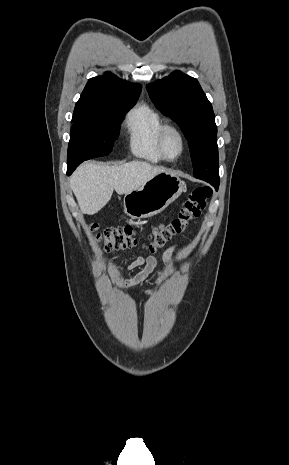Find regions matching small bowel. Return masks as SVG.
<instances>
[{"label":"small bowel","instance_id":"obj_1","mask_svg":"<svg viewBox=\"0 0 289 465\" xmlns=\"http://www.w3.org/2000/svg\"><path fill=\"white\" fill-rule=\"evenodd\" d=\"M178 247V244H173L164 251L162 256V260L164 263H169L172 260L173 254ZM141 266L142 269L131 278H124L123 276H118V284L125 289L132 288L143 282L151 274L156 275L158 284H161L164 281L165 275L162 269L160 268L157 258L154 256H138L126 267H120V270H133Z\"/></svg>","mask_w":289,"mask_h":465}]
</instances>
